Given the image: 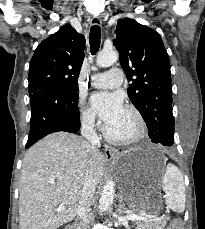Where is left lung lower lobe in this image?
Returning <instances> with one entry per match:
<instances>
[{"label":"left lung lower lobe","instance_id":"left-lung-lower-lobe-1","mask_svg":"<svg viewBox=\"0 0 205 229\" xmlns=\"http://www.w3.org/2000/svg\"><path fill=\"white\" fill-rule=\"evenodd\" d=\"M157 131H155V133L154 134H156V133H158V132H160V130H158V129H156ZM155 141H157V142H154V143H158V139L155 137V139H154Z\"/></svg>","mask_w":205,"mask_h":229}]
</instances>
